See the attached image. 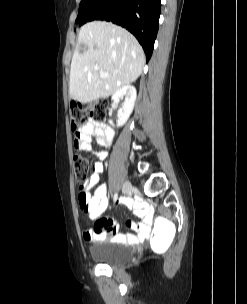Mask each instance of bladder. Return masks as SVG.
<instances>
[{"instance_id": "1", "label": "bladder", "mask_w": 247, "mask_h": 304, "mask_svg": "<svg viewBox=\"0 0 247 304\" xmlns=\"http://www.w3.org/2000/svg\"><path fill=\"white\" fill-rule=\"evenodd\" d=\"M132 247L110 240L92 246L90 258L99 264L116 267L125 264L132 256Z\"/></svg>"}]
</instances>
